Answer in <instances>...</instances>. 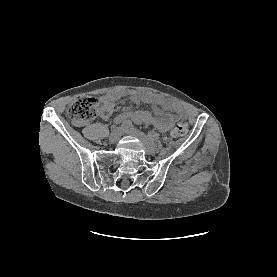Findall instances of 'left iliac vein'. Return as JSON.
I'll use <instances>...</instances> for the list:
<instances>
[{"label": "left iliac vein", "instance_id": "4c4485c4", "mask_svg": "<svg viewBox=\"0 0 277 277\" xmlns=\"http://www.w3.org/2000/svg\"><path fill=\"white\" fill-rule=\"evenodd\" d=\"M126 133L138 138L144 145V149L147 154L152 155L155 154L157 151V145L152 139L144 134L143 132L135 129L134 127H130L124 130Z\"/></svg>", "mask_w": 277, "mask_h": 277}]
</instances>
